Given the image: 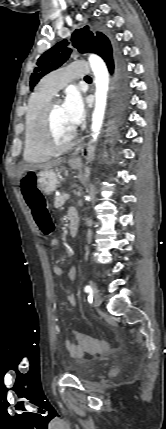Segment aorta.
<instances>
[{
    "instance_id": "aorta-1",
    "label": "aorta",
    "mask_w": 166,
    "mask_h": 429,
    "mask_svg": "<svg viewBox=\"0 0 166 429\" xmlns=\"http://www.w3.org/2000/svg\"><path fill=\"white\" fill-rule=\"evenodd\" d=\"M89 63L95 76V108L92 114L91 130L95 141L103 124L107 92L109 87V74L104 61L97 55L89 56Z\"/></svg>"
}]
</instances>
